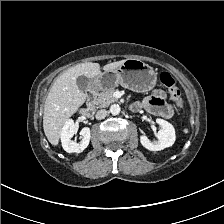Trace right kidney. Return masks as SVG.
Segmentation results:
<instances>
[{
	"label": "right kidney",
	"instance_id": "ca27d5eb",
	"mask_svg": "<svg viewBox=\"0 0 224 224\" xmlns=\"http://www.w3.org/2000/svg\"><path fill=\"white\" fill-rule=\"evenodd\" d=\"M76 132V127L74 121L69 119L65 122L62 131H61V143L63 149L68 153H80L87 148L90 142V128L84 127L80 131V135L82 136V140L77 143L72 140L73 135Z\"/></svg>",
	"mask_w": 224,
	"mask_h": 224
}]
</instances>
